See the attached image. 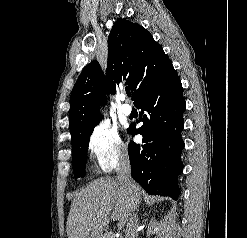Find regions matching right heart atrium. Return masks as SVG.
<instances>
[{"instance_id":"right-heart-atrium-1","label":"right heart atrium","mask_w":247,"mask_h":238,"mask_svg":"<svg viewBox=\"0 0 247 238\" xmlns=\"http://www.w3.org/2000/svg\"><path fill=\"white\" fill-rule=\"evenodd\" d=\"M88 149L98 168L112 171L128 157L118 130L107 122L96 125L88 138Z\"/></svg>"}]
</instances>
